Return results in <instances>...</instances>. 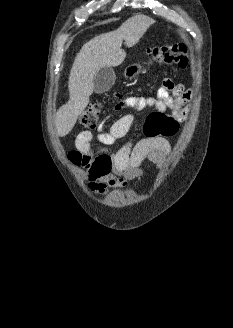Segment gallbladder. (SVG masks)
Listing matches in <instances>:
<instances>
[{"instance_id": "bac80fb5", "label": "gallbladder", "mask_w": 233, "mask_h": 328, "mask_svg": "<svg viewBox=\"0 0 233 328\" xmlns=\"http://www.w3.org/2000/svg\"><path fill=\"white\" fill-rule=\"evenodd\" d=\"M116 75L111 67L101 68L94 77V92L102 94L108 91L115 83Z\"/></svg>"}]
</instances>
